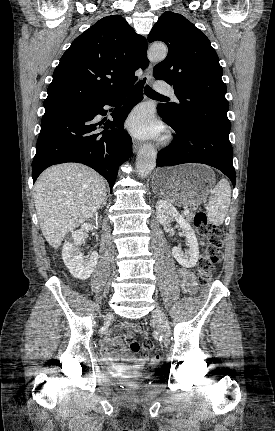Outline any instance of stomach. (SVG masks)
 I'll return each mask as SVG.
<instances>
[{
  "instance_id": "stomach-1",
  "label": "stomach",
  "mask_w": 275,
  "mask_h": 431,
  "mask_svg": "<svg viewBox=\"0 0 275 431\" xmlns=\"http://www.w3.org/2000/svg\"><path fill=\"white\" fill-rule=\"evenodd\" d=\"M216 182L213 170L202 164L162 168L152 179L153 190L178 206L204 202Z\"/></svg>"
}]
</instances>
